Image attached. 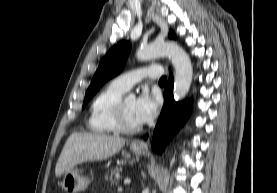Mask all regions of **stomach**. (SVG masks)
<instances>
[{
    "instance_id": "1",
    "label": "stomach",
    "mask_w": 277,
    "mask_h": 193,
    "mask_svg": "<svg viewBox=\"0 0 277 193\" xmlns=\"http://www.w3.org/2000/svg\"><path fill=\"white\" fill-rule=\"evenodd\" d=\"M130 149L137 155H141L145 151L143 148L136 147L133 144L130 145ZM89 183L90 179L84 176L81 170L76 168L65 173L61 185L66 193H79L84 191Z\"/></svg>"
}]
</instances>
